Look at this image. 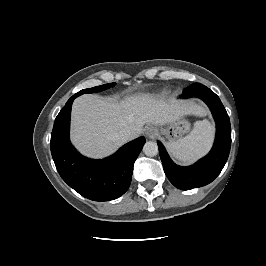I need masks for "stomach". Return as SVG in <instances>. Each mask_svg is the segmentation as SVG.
<instances>
[{"label": "stomach", "instance_id": "stomach-1", "mask_svg": "<svg viewBox=\"0 0 266 266\" xmlns=\"http://www.w3.org/2000/svg\"><path fill=\"white\" fill-rule=\"evenodd\" d=\"M190 130V123L183 117L169 122L166 126L160 127V133L170 141L179 140L185 133Z\"/></svg>", "mask_w": 266, "mask_h": 266}]
</instances>
